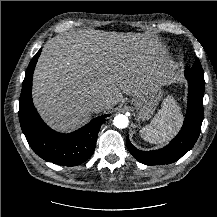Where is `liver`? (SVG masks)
Here are the masks:
<instances>
[{
	"label": "liver",
	"instance_id": "obj_1",
	"mask_svg": "<svg viewBox=\"0 0 217 217\" xmlns=\"http://www.w3.org/2000/svg\"><path fill=\"white\" fill-rule=\"evenodd\" d=\"M140 52L134 40L97 32L55 36L44 45L34 71L36 107L53 128L69 131L90 119L92 101L107 100L104 110H110L122 93L136 96L157 88Z\"/></svg>",
	"mask_w": 217,
	"mask_h": 217
}]
</instances>
